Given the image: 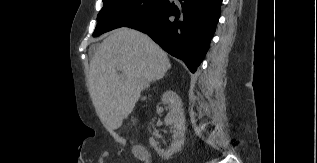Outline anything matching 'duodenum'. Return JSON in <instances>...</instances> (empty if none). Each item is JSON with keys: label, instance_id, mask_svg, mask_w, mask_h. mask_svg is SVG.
I'll use <instances>...</instances> for the list:
<instances>
[{"label": "duodenum", "instance_id": "obj_1", "mask_svg": "<svg viewBox=\"0 0 317 163\" xmlns=\"http://www.w3.org/2000/svg\"><path fill=\"white\" fill-rule=\"evenodd\" d=\"M142 152H145L146 150L143 147H138Z\"/></svg>", "mask_w": 317, "mask_h": 163}]
</instances>
